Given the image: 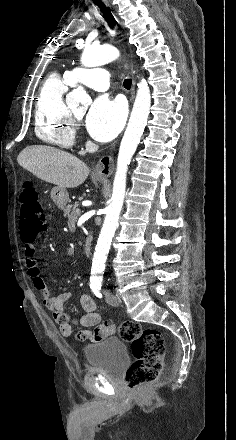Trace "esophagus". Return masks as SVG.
Returning a JSON list of instances; mask_svg holds the SVG:
<instances>
[{"label":"esophagus","mask_w":236,"mask_h":440,"mask_svg":"<svg viewBox=\"0 0 236 440\" xmlns=\"http://www.w3.org/2000/svg\"><path fill=\"white\" fill-rule=\"evenodd\" d=\"M135 84H136L135 80L133 79L132 88H131L132 99L134 98V94H135ZM113 169H114L113 158L111 156H104L97 162L94 168V175L101 178H107L112 174Z\"/></svg>","instance_id":"34e87169"}]
</instances>
